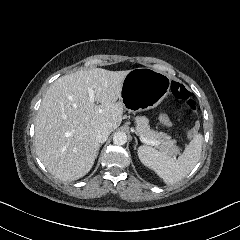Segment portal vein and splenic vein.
<instances>
[{
    "instance_id": "18ae733b",
    "label": "portal vein and splenic vein",
    "mask_w": 240,
    "mask_h": 240,
    "mask_svg": "<svg viewBox=\"0 0 240 240\" xmlns=\"http://www.w3.org/2000/svg\"><path fill=\"white\" fill-rule=\"evenodd\" d=\"M88 95H89V100H90L91 102H94V100H95V93H94V90H93L92 88H89V89H88ZM140 141H141L142 143H145V144H147V145H152V146L159 144L158 141L148 140L147 138H145V137L142 136V135L140 136Z\"/></svg>"
}]
</instances>
